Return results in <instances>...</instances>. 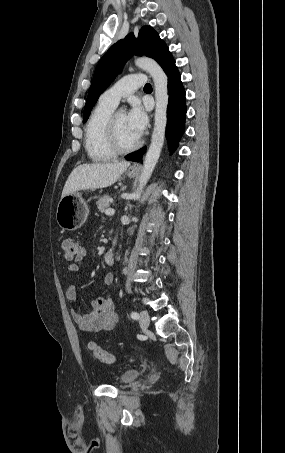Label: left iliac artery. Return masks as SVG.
<instances>
[{
	"label": "left iliac artery",
	"instance_id": "obj_1",
	"mask_svg": "<svg viewBox=\"0 0 285 453\" xmlns=\"http://www.w3.org/2000/svg\"><path fill=\"white\" fill-rule=\"evenodd\" d=\"M130 316L135 320L139 319V314L137 312H131Z\"/></svg>",
	"mask_w": 285,
	"mask_h": 453
}]
</instances>
